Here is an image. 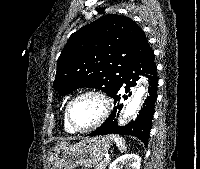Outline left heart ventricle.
<instances>
[{"label":"left heart ventricle","instance_id":"obj_1","mask_svg":"<svg viewBox=\"0 0 200 169\" xmlns=\"http://www.w3.org/2000/svg\"><path fill=\"white\" fill-rule=\"evenodd\" d=\"M101 112V102L93 96L77 100L71 108L73 123L78 128H86L93 125L100 117Z\"/></svg>","mask_w":200,"mask_h":169}]
</instances>
